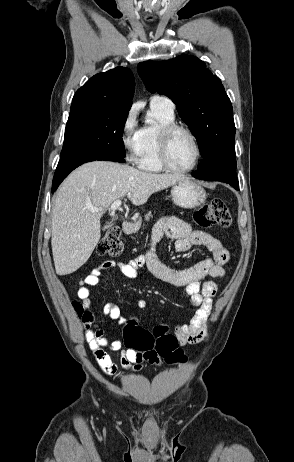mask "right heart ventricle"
I'll return each instance as SVG.
<instances>
[{
    "mask_svg": "<svg viewBox=\"0 0 294 462\" xmlns=\"http://www.w3.org/2000/svg\"><path fill=\"white\" fill-rule=\"evenodd\" d=\"M148 114L154 120V123L139 129L140 150L137 165L139 169L145 172L160 173L164 169L159 161V132L163 126L175 123V115L174 112L154 106L150 107Z\"/></svg>",
    "mask_w": 294,
    "mask_h": 462,
    "instance_id": "obj_1",
    "label": "right heart ventricle"
}]
</instances>
